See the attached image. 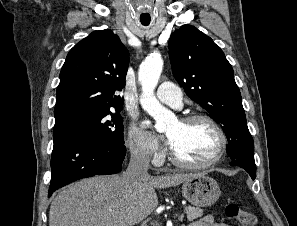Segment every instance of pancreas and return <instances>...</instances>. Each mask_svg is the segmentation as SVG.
I'll return each instance as SVG.
<instances>
[{
	"mask_svg": "<svg viewBox=\"0 0 297 226\" xmlns=\"http://www.w3.org/2000/svg\"><path fill=\"white\" fill-rule=\"evenodd\" d=\"M185 212L188 221H193L203 215V209L198 207L187 206L185 207ZM152 226H160L158 223H152Z\"/></svg>",
	"mask_w": 297,
	"mask_h": 226,
	"instance_id": "cf45deb5",
	"label": "pancreas"
}]
</instances>
